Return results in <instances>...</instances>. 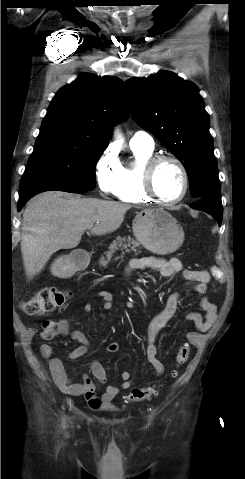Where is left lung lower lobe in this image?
Returning a JSON list of instances; mask_svg holds the SVG:
<instances>
[{
    "label": "left lung lower lobe",
    "instance_id": "left-lung-lower-lobe-1",
    "mask_svg": "<svg viewBox=\"0 0 245 479\" xmlns=\"http://www.w3.org/2000/svg\"><path fill=\"white\" fill-rule=\"evenodd\" d=\"M191 208L211 214L221 226L223 209L220 190H215L200 198L199 201L191 205Z\"/></svg>",
    "mask_w": 245,
    "mask_h": 479
}]
</instances>
